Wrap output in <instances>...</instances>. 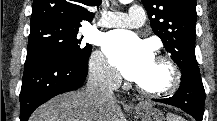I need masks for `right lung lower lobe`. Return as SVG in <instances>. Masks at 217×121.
<instances>
[{"mask_svg": "<svg viewBox=\"0 0 217 121\" xmlns=\"http://www.w3.org/2000/svg\"><path fill=\"white\" fill-rule=\"evenodd\" d=\"M88 74V60L37 58L25 62L20 92V120L52 97L83 86Z\"/></svg>", "mask_w": 217, "mask_h": 121, "instance_id": "obj_1", "label": "right lung lower lobe"}]
</instances>
